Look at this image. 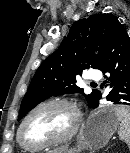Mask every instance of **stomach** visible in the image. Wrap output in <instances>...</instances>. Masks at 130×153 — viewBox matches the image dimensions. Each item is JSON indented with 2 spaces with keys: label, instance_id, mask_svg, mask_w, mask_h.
Listing matches in <instances>:
<instances>
[{
  "label": "stomach",
  "instance_id": "0dacf381",
  "mask_svg": "<svg viewBox=\"0 0 130 153\" xmlns=\"http://www.w3.org/2000/svg\"><path fill=\"white\" fill-rule=\"evenodd\" d=\"M118 126L119 120L115 107H106L94 111L81 128L77 146L68 153H79L82 150L95 151L104 147Z\"/></svg>",
  "mask_w": 130,
  "mask_h": 153
}]
</instances>
